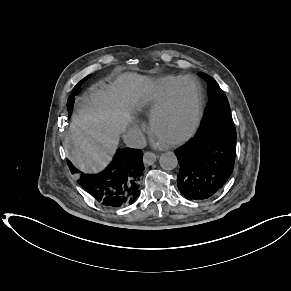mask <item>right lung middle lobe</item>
Listing matches in <instances>:
<instances>
[{
  "instance_id": "dd1d6c3e",
  "label": "right lung middle lobe",
  "mask_w": 291,
  "mask_h": 291,
  "mask_svg": "<svg viewBox=\"0 0 291 291\" xmlns=\"http://www.w3.org/2000/svg\"><path fill=\"white\" fill-rule=\"evenodd\" d=\"M90 77V75L86 76L84 79H82L73 89L71 96L68 98L67 101V107H68V112H69V117L71 116L72 113V108H73V104H74V100H75V95L77 93V91L79 90L81 84Z\"/></svg>"
}]
</instances>
